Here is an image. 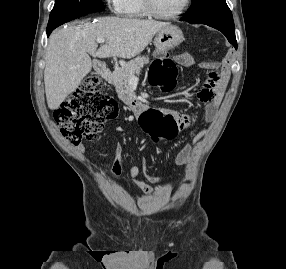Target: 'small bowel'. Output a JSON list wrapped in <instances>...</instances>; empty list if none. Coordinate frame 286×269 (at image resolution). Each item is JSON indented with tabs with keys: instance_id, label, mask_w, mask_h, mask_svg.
I'll return each mask as SVG.
<instances>
[{
	"instance_id": "1",
	"label": "small bowel",
	"mask_w": 286,
	"mask_h": 269,
	"mask_svg": "<svg viewBox=\"0 0 286 269\" xmlns=\"http://www.w3.org/2000/svg\"><path fill=\"white\" fill-rule=\"evenodd\" d=\"M175 61L184 67H190L196 63L195 57L189 53H181L175 56ZM200 66L205 69L209 70L210 66L217 67V73L213 75V78H216L215 83L210 85H203L198 90V97L206 103L205 108V120L208 123H212L215 121L218 109L222 101L223 93L228 83L230 77V68L229 63L227 61H222L220 63L213 62H202ZM116 93H128V88H116ZM121 99H133V94H121ZM162 109V113H168L171 116V119L176 122V127L178 131L184 130L189 127L190 125V117L186 114H180L169 110V108H160ZM141 110L140 111H132V120H141ZM145 127V126H144ZM207 134L206 130L200 131L194 138L197 142L205 137ZM80 149H84L83 146ZM191 160V148L189 145L185 146L175 157L174 162L176 165H185ZM123 171V147L120 144H117L114 150V162L111 167V174L114 177L119 176ZM140 169L137 166H131L128 168V175L134 181L135 185L138 189L145 193L150 194L151 188L150 186L142 181L139 180ZM163 179L162 176L158 175H148V180L152 183H159Z\"/></svg>"
}]
</instances>
